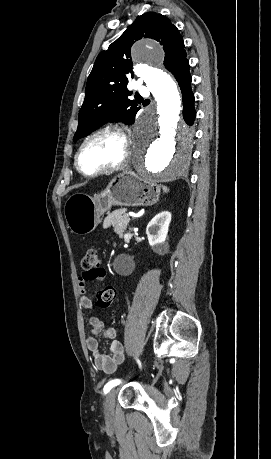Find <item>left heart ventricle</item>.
Masks as SVG:
<instances>
[{
	"label": "left heart ventricle",
	"mask_w": 271,
	"mask_h": 459,
	"mask_svg": "<svg viewBox=\"0 0 271 459\" xmlns=\"http://www.w3.org/2000/svg\"><path fill=\"white\" fill-rule=\"evenodd\" d=\"M124 143L119 136L105 132L91 138L82 149L80 167L92 172L100 167L118 161L124 153Z\"/></svg>",
	"instance_id": "obj_1"
}]
</instances>
